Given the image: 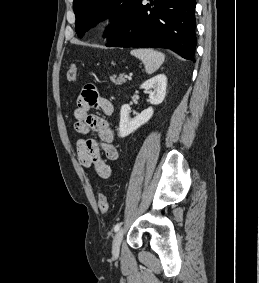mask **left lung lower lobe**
<instances>
[{
  "instance_id": "0a47b994",
  "label": "left lung lower lobe",
  "mask_w": 259,
  "mask_h": 283,
  "mask_svg": "<svg viewBox=\"0 0 259 283\" xmlns=\"http://www.w3.org/2000/svg\"><path fill=\"white\" fill-rule=\"evenodd\" d=\"M196 0H136L107 47L168 48L194 61Z\"/></svg>"
}]
</instances>
